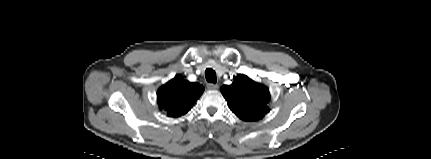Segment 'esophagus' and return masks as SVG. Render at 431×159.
<instances>
[{"label": "esophagus", "mask_w": 431, "mask_h": 159, "mask_svg": "<svg viewBox=\"0 0 431 159\" xmlns=\"http://www.w3.org/2000/svg\"><path fill=\"white\" fill-rule=\"evenodd\" d=\"M207 87L208 89H211V90H217L219 88V85L214 83H209L207 84Z\"/></svg>", "instance_id": "34e87169"}]
</instances>
